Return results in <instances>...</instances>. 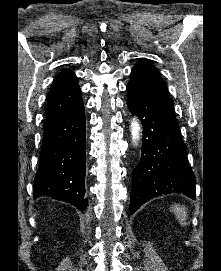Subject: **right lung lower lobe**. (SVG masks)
I'll return each instance as SVG.
<instances>
[{"mask_svg":"<svg viewBox=\"0 0 221 271\" xmlns=\"http://www.w3.org/2000/svg\"><path fill=\"white\" fill-rule=\"evenodd\" d=\"M85 111L83 101L68 110L47 115L33 197L50 196L79 209L85 195Z\"/></svg>","mask_w":221,"mask_h":271,"instance_id":"right-lung-lower-lobe-1","label":"right lung lower lobe"}]
</instances>
